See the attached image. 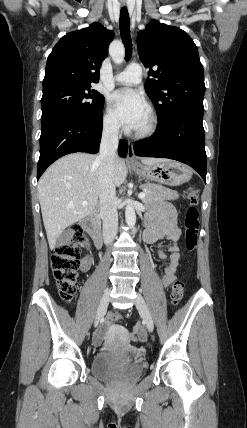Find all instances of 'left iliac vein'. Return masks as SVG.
I'll use <instances>...</instances> for the list:
<instances>
[{"label": "left iliac vein", "mask_w": 247, "mask_h": 428, "mask_svg": "<svg viewBox=\"0 0 247 428\" xmlns=\"http://www.w3.org/2000/svg\"><path fill=\"white\" fill-rule=\"evenodd\" d=\"M136 308L140 312L147 329L152 332L154 328L153 319L150 314V311L147 307V304L140 293L137 294V298L135 300Z\"/></svg>", "instance_id": "1"}]
</instances>
